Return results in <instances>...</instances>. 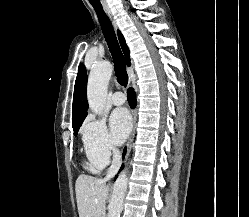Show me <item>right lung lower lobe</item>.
<instances>
[{
  "mask_svg": "<svg viewBox=\"0 0 249 217\" xmlns=\"http://www.w3.org/2000/svg\"><path fill=\"white\" fill-rule=\"evenodd\" d=\"M127 93H128V102H129L130 106L132 108H134L136 105L135 92L132 88H130V89H128ZM125 152H126V148L124 149V154H125Z\"/></svg>",
  "mask_w": 249,
  "mask_h": 217,
  "instance_id": "right-lung-lower-lobe-1",
  "label": "right lung lower lobe"
}]
</instances>
